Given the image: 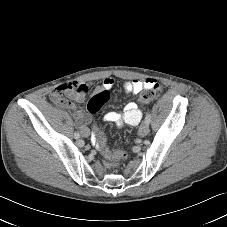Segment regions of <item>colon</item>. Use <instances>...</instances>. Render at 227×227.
<instances>
[{
	"label": "colon",
	"mask_w": 227,
	"mask_h": 227,
	"mask_svg": "<svg viewBox=\"0 0 227 227\" xmlns=\"http://www.w3.org/2000/svg\"><path fill=\"white\" fill-rule=\"evenodd\" d=\"M77 87L74 84L64 85L57 89L55 98L64 97L67 93L75 91ZM161 90V85L156 80H152L151 86L146 89V92L142 96V101L147 102L156 98ZM110 94L107 90H103L95 94L89 101L87 109L89 113L95 114L101 110L104 104L109 100ZM95 136L98 139V145L103 147L105 145L104 139L100 131H95ZM107 161H114L126 156L125 153H121L119 149H113L112 151L107 149L103 152Z\"/></svg>",
	"instance_id": "5ec220e1"
}]
</instances>
